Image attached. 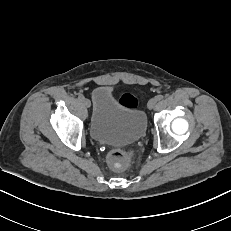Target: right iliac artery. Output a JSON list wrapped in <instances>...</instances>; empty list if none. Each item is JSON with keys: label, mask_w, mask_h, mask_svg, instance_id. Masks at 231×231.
<instances>
[{"label": "right iliac artery", "mask_w": 231, "mask_h": 231, "mask_svg": "<svg viewBox=\"0 0 231 231\" xmlns=\"http://www.w3.org/2000/svg\"><path fill=\"white\" fill-rule=\"evenodd\" d=\"M78 99L83 100V99H84V96H83L82 94H79V95H78Z\"/></svg>", "instance_id": "1"}]
</instances>
